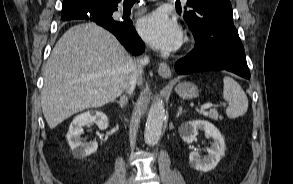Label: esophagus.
Wrapping results in <instances>:
<instances>
[{
  "mask_svg": "<svg viewBox=\"0 0 293 184\" xmlns=\"http://www.w3.org/2000/svg\"><path fill=\"white\" fill-rule=\"evenodd\" d=\"M158 74L165 79H169L171 77V69L166 63L161 62L158 67Z\"/></svg>",
  "mask_w": 293,
  "mask_h": 184,
  "instance_id": "34e87169",
  "label": "esophagus"
}]
</instances>
